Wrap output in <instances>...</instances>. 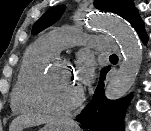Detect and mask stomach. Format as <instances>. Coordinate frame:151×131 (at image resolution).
I'll list each match as a JSON object with an SVG mask.
<instances>
[{
  "label": "stomach",
  "mask_w": 151,
  "mask_h": 131,
  "mask_svg": "<svg viewBox=\"0 0 151 131\" xmlns=\"http://www.w3.org/2000/svg\"><path fill=\"white\" fill-rule=\"evenodd\" d=\"M40 131H76V126L68 120L60 119L57 122L47 124Z\"/></svg>",
  "instance_id": "0dacf381"
}]
</instances>
